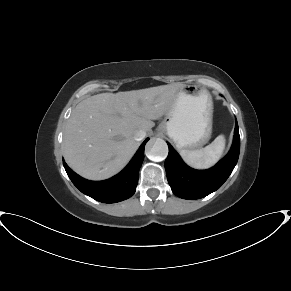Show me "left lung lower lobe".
<instances>
[{"mask_svg": "<svg viewBox=\"0 0 291 291\" xmlns=\"http://www.w3.org/2000/svg\"><path fill=\"white\" fill-rule=\"evenodd\" d=\"M169 154L165 160L168 183L175 195L183 199H199L216 191L232 173L239 157L240 136L236 122L234 140L227 156L208 170L188 167L168 143Z\"/></svg>", "mask_w": 291, "mask_h": 291, "instance_id": "obj_1", "label": "left lung lower lobe"}]
</instances>
